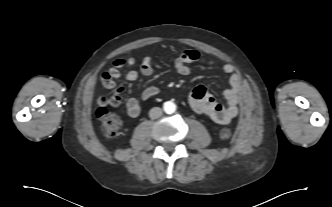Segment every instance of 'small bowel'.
<instances>
[{"label":"small bowel","instance_id":"small-bowel-1","mask_svg":"<svg viewBox=\"0 0 332 207\" xmlns=\"http://www.w3.org/2000/svg\"><path fill=\"white\" fill-rule=\"evenodd\" d=\"M200 59V54L196 50H186L174 59V65L177 72L181 75L190 73L189 64ZM135 66L133 58L117 59L113 66L101 77L102 85L106 88H114L120 78V68ZM154 68H161V64L153 55H147L143 58L141 64L135 69L130 70L125 78L128 81L137 80L139 73L151 75ZM223 72L229 77V88L225 91L226 104L218 103L208 89L203 85L194 87L189 93V100L192 108L199 114H202L212 121L224 125L230 123L238 114V104L240 101L241 77L234 66L225 64ZM123 89L118 88L116 94L120 95ZM159 93V88L151 86L146 88L142 94V100L146 101ZM120 105V104H119ZM126 112L131 117H137L140 114V105L136 98H129L125 104Z\"/></svg>","mask_w":332,"mask_h":207}]
</instances>
